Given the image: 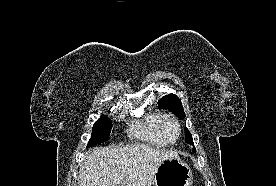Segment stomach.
<instances>
[{"label": "stomach", "instance_id": "obj_1", "mask_svg": "<svg viewBox=\"0 0 276 186\" xmlns=\"http://www.w3.org/2000/svg\"><path fill=\"white\" fill-rule=\"evenodd\" d=\"M192 172L179 157H170L157 169L153 186H191Z\"/></svg>", "mask_w": 276, "mask_h": 186}]
</instances>
